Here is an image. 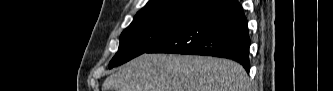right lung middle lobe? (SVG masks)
Here are the masks:
<instances>
[{
  "label": "right lung middle lobe",
  "mask_w": 333,
  "mask_h": 91,
  "mask_svg": "<svg viewBox=\"0 0 333 91\" xmlns=\"http://www.w3.org/2000/svg\"><path fill=\"white\" fill-rule=\"evenodd\" d=\"M214 3L216 1L206 0L201 8L205 10ZM190 20L191 18L167 16L134 18L133 22L122 32L118 52L109 63V68L121 65L147 52L181 29Z\"/></svg>",
  "instance_id": "dd1d6c3e"
}]
</instances>
